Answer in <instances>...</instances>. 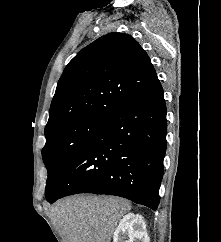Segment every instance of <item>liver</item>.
Returning a JSON list of instances; mask_svg holds the SVG:
<instances>
[{
    "instance_id": "1",
    "label": "liver",
    "mask_w": 221,
    "mask_h": 242,
    "mask_svg": "<svg viewBox=\"0 0 221 242\" xmlns=\"http://www.w3.org/2000/svg\"><path fill=\"white\" fill-rule=\"evenodd\" d=\"M129 201L117 197L74 196L52 207L51 220L63 242H110Z\"/></svg>"
}]
</instances>
